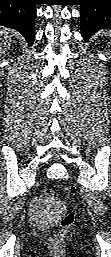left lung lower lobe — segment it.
<instances>
[{"mask_svg": "<svg viewBox=\"0 0 111 257\" xmlns=\"http://www.w3.org/2000/svg\"><path fill=\"white\" fill-rule=\"evenodd\" d=\"M80 16L85 40L101 29H111V0H81Z\"/></svg>", "mask_w": 111, "mask_h": 257, "instance_id": "0a47b994", "label": "left lung lower lobe"}]
</instances>
